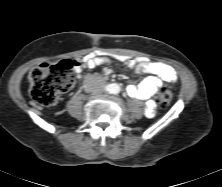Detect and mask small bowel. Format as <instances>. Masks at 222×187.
<instances>
[{
  "instance_id": "1",
  "label": "small bowel",
  "mask_w": 222,
  "mask_h": 187,
  "mask_svg": "<svg viewBox=\"0 0 222 187\" xmlns=\"http://www.w3.org/2000/svg\"><path fill=\"white\" fill-rule=\"evenodd\" d=\"M111 65H118L136 74L147 73L152 75L144 79L139 85H130L127 88L131 97L146 101L145 112L148 116L155 114V104L152 98L158 89L163 86L164 82H176L178 79L175 69L168 64L119 54L108 56L103 53H89L81 59L80 63L76 64L75 72L79 76L83 68Z\"/></svg>"
}]
</instances>
